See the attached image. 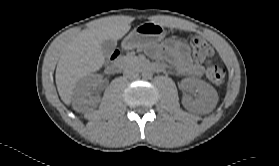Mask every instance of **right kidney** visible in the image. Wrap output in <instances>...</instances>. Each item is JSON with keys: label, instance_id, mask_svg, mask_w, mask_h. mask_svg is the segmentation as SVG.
Instances as JSON below:
<instances>
[{"label": "right kidney", "instance_id": "right-kidney-1", "mask_svg": "<svg viewBox=\"0 0 279 166\" xmlns=\"http://www.w3.org/2000/svg\"><path fill=\"white\" fill-rule=\"evenodd\" d=\"M101 82L100 77L90 76L84 78L74 91L75 100L79 104L86 105L93 99V90Z\"/></svg>", "mask_w": 279, "mask_h": 166}]
</instances>
